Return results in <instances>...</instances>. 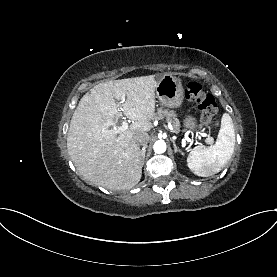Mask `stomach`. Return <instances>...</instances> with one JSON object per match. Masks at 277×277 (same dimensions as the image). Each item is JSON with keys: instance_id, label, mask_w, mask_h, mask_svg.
Returning a JSON list of instances; mask_svg holds the SVG:
<instances>
[{"instance_id": "1", "label": "stomach", "mask_w": 277, "mask_h": 277, "mask_svg": "<svg viewBox=\"0 0 277 277\" xmlns=\"http://www.w3.org/2000/svg\"><path fill=\"white\" fill-rule=\"evenodd\" d=\"M156 97L162 105L169 108H178L182 105L184 99V89L179 78L170 74L163 75L155 89ZM185 130L197 131L202 128L196 118L192 115H186L183 120Z\"/></svg>"}]
</instances>
